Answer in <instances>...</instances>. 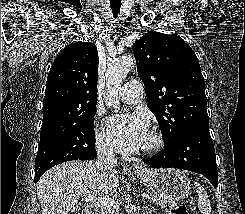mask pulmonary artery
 Segmentation results:
<instances>
[{
  "mask_svg": "<svg viewBox=\"0 0 245 214\" xmlns=\"http://www.w3.org/2000/svg\"><path fill=\"white\" fill-rule=\"evenodd\" d=\"M143 96V84L139 80L128 81L118 93V97L125 103L136 104Z\"/></svg>",
  "mask_w": 245,
  "mask_h": 214,
  "instance_id": "pulmonary-artery-1",
  "label": "pulmonary artery"
}]
</instances>
